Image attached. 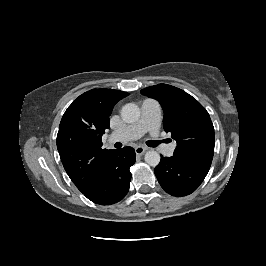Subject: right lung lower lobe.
<instances>
[{"instance_id": "1", "label": "right lung lower lobe", "mask_w": 266, "mask_h": 266, "mask_svg": "<svg viewBox=\"0 0 266 266\" xmlns=\"http://www.w3.org/2000/svg\"><path fill=\"white\" fill-rule=\"evenodd\" d=\"M135 156V151L131 147L114 150L107 158L95 183L83 194L100 205H110L122 200L130 187L129 168L135 163Z\"/></svg>"}]
</instances>
